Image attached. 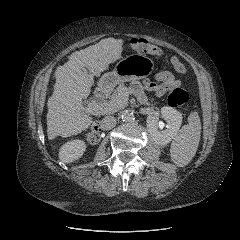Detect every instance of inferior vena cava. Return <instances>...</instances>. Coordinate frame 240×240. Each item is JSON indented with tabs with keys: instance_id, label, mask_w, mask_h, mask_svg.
I'll return each instance as SVG.
<instances>
[{
	"instance_id": "602c4592",
	"label": "inferior vena cava",
	"mask_w": 240,
	"mask_h": 240,
	"mask_svg": "<svg viewBox=\"0 0 240 240\" xmlns=\"http://www.w3.org/2000/svg\"><path fill=\"white\" fill-rule=\"evenodd\" d=\"M116 125V118L114 116H106L100 122V127L103 130H110Z\"/></svg>"
}]
</instances>
